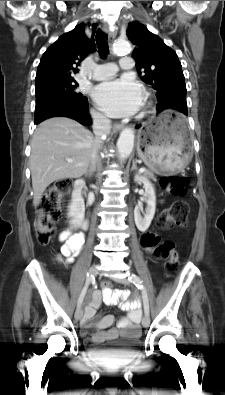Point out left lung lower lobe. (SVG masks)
I'll return each mask as SVG.
<instances>
[{"label": "left lung lower lobe", "mask_w": 225, "mask_h": 395, "mask_svg": "<svg viewBox=\"0 0 225 395\" xmlns=\"http://www.w3.org/2000/svg\"><path fill=\"white\" fill-rule=\"evenodd\" d=\"M166 109H173L177 110L181 113H184L185 115H188V111H185L184 106L178 102V101H165V102H159L157 104V113H160ZM140 126H136V128H139Z\"/></svg>", "instance_id": "1"}]
</instances>
